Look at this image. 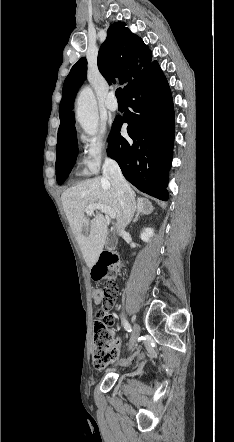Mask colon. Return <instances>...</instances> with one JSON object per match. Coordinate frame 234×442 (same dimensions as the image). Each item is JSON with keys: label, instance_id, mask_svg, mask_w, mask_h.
I'll return each mask as SVG.
<instances>
[{"label": "colon", "instance_id": "5ec220e1", "mask_svg": "<svg viewBox=\"0 0 234 442\" xmlns=\"http://www.w3.org/2000/svg\"><path fill=\"white\" fill-rule=\"evenodd\" d=\"M121 265L115 254L105 252L92 269V277L96 281H102L101 287L93 290V299L102 305L97 314H111L109 308L115 303L118 295V287L115 281ZM112 328L98 331L94 327L93 363L97 368H104L112 362L118 353V347L114 341ZM145 352L138 350L135 358L140 360Z\"/></svg>", "mask_w": 234, "mask_h": 442}]
</instances>
